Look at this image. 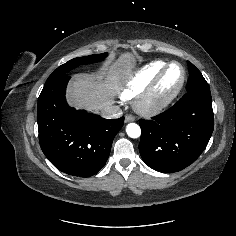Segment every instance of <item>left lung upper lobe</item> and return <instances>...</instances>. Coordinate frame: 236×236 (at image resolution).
<instances>
[{
    "mask_svg": "<svg viewBox=\"0 0 236 236\" xmlns=\"http://www.w3.org/2000/svg\"><path fill=\"white\" fill-rule=\"evenodd\" d=\"M187 64L189 69V79L186 90L189 91L200 87H209L201 72L191 62L187 61Z\"/></svg>",
    "mask_w": 236,
    "mask_h": 236,
    "instance_id": "left-lung-upper-lobe-1",
    "label": "left lung upper lobe"
}]
</instances>
